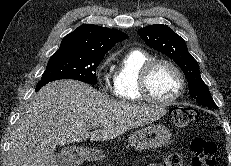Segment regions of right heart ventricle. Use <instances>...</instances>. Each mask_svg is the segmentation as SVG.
<instances>
[{
  "instance_id": "right-heart-ventricle-1",
  "label": "right heart ventricle",
  "mask_w": 231,
  "mask_h": 166,
  "mask_svg": "<svg viewBox=\"0 0 231 166\" xmlns=\"http://www.w3.org/2000/svg\"><path fill=\"white\" fill-rule=\"evenodd\" d=\"M153 59L141 49L128 50L118 61L113 77V93L122 101L143 99L138 88L140 70L145 63Z\"/></svg>"
}]
</instances>
